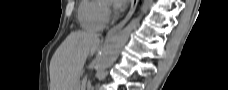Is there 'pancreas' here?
I'll use <instances>...</instances> for the list:
<instances>
[{
    "mask_svg": "<svg viewBox=\"0 0 228 90\" xmlns=\"http://www.w3.org/2000/svg\"><path fill=\"white\" fill-rule=\"evenodd\" d=\"M77 87H79V80H78V82H77Z\"/></svg>",
    "mask_w": 228,
    "mask_h": 90,
    "instance_id": "pancreas-1",
    "label": "pancreas"
}]
</instances>
